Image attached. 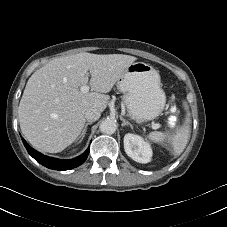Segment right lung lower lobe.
Here are the masks:
<instances>
[{
	"label": "right lung lower lobe",
	"mask_w": 227,
	"mask_h": 227,
	"mask_svg": "<svg viewBox=\"0 0 227 227\" xmlns=\"http://www.w3.org/2000/svg\"><path fill=\"white\" fill-rule=\"evenodd\" d=\"M23 144L25 148L27 149L28 153L40 164L43 166H46L49 169H54V170H70L75 167H78L82 163L85 162V160L88 157L89 154V149H87L82 155L71 159V160H62V159H57L53 157H49L46 155H43L30 147L26 141L22 138Z\"/></svg>",
	"instance_id": "right-lung-lower-lobe-1"
}]
</instances>
